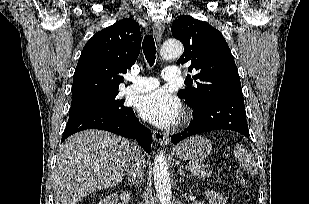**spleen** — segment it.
Returning <instances> with one entry per match:
<instances>
[{
    "mask_svg": "<svg viewBox=\"0 0 309 204\" xmlns=\"http://www.w3.org/2000/svg\"><path fill=\"white\" fill-rule=\"evenodd\" d=\"M234 155L238 159L240 166L247 171L248 174L254 176L258 174V165L252 153L246 150L243 145L236 144L234 147Z\"/></svg>",
    "mask_w": 309,
    "mask_h": 204,
    "instance_id": "3e777b00",
    "label": "spleen"
}]
</instances>
